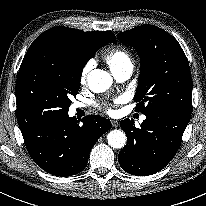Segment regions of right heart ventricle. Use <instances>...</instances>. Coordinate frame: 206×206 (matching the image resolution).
<instances>
[{
	"label": "right heart ventricle",
	"instance_id": "right-heart-ventricle-1",
	"mask_svg": "<svg viewBox=\"0 0 206 206\" xmlns=\"http://www.w3.org/2000/svg\"><path fill=\"white\" fill-rule=\"evenodd\" d=\"M105 61L112 72L125 67L132 66V55L129 50L123 47H117L105 55Z\"/></svg>",
	"mask_w": 206,
	"mask_h": 206
}]
</instances>
